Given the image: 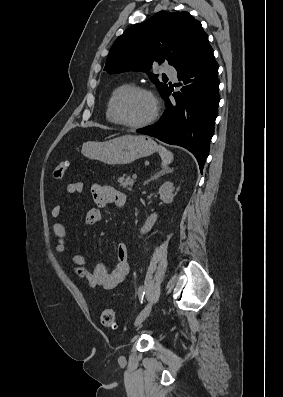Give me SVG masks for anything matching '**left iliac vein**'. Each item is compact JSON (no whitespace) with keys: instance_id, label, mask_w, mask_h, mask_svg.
Segmentation results:
<instances>
[{"instance_id":"1","label":"left iliac vein","mask_w":283,"mask_h":397,"mask_svg":"<svg viewBox=\"0 0 283 397\" xmlns=\"http://www.w3.org/2000/svg\"><path fill=\"white\" fill-rule=\"evenodd\" d=\"M152 302H149L143 309L142 311L139 313V315L137 316L136 320H135V326L140 325L149 315L151 309H152Z\"/></svg>"}]
</instances>
